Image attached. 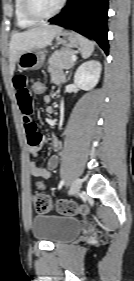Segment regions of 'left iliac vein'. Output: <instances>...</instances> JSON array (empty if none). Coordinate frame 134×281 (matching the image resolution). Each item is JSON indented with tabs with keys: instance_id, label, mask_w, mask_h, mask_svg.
Segmentation results:
<instances>
[{
	"instance_id": "left-iliac-vein-1",
	"label": "left iliac vein",
	"mask_w": 134,
	"mask_h": 281,
	"mask_svg": "<svg viewBox=\"0 0 134 281\" xmlns=\"http://www.w3.org/2000/svg\"><path fill=\"white\" fill-rule=\"evenodd\" d=\"M81 180L79 178H76L73 183H72V186L70 188V195H75L77 194L80 189H81Z\"/></svg>"
}]
</instances>
